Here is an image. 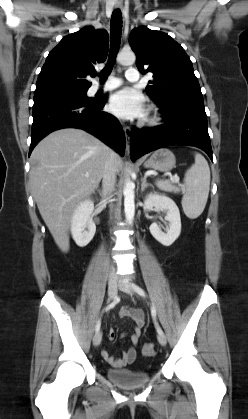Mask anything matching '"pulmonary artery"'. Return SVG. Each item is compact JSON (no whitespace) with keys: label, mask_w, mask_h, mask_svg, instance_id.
Masks as SVG:
<instances>
[{"label":"pulmonary artery","mask_w":248,"mask_h":419,"mask_svg":"<svg viewBox=\"0 0 248 419\" xmlns=\"http://www.w3.org/2000/svg\"><path fill=\"white\" fill-rule=\"evenodd\" d=\"M125 77L130 82H137L139 81V72L136 67H129L125 73ZM122 81L120 78L117 77H109L108 80L103 85H96L95 91L97 90H112L121 85Z\"/></svg>","instance_id":"e3ab8cb5"}]
</instances>
